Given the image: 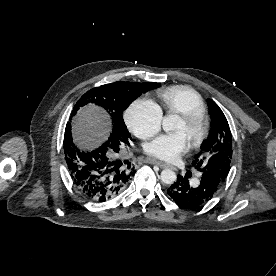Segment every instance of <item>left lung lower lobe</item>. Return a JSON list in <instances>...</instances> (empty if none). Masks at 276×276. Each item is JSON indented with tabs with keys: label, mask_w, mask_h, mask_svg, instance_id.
<instances>
[{
	"label": "left lung lower lobe",
	"mask_w": 276,
	"mask_h": 276,
	"mask_svg": "<svg viewBox=\"0 0 276 276\" xmlns=\"http://www.w3.org/2000/svg\"><path fill=\"white\" fill-rule=\"evenodd\" d=\"M190 172L178 179L167 190L168 195L183 208H200L207 203L220 188L216 177L202 173L199 180L192 185L189 182Z\"/></svg>",
	"instance_id": "left-lung-lower-lobe-1"
}]
</instances>
